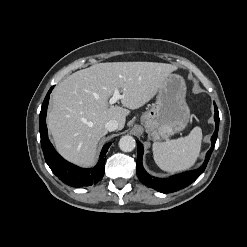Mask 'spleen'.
<instances>
[{
  "instance_id": "spleen-1",
  "label": "spleen",
  "mask_w": 247,
  "mask_h": 247,
  "mask_svg": "<svg viewBox=\"0 0 247 247\" xmlns=\"http://www.w3.org/2000/svg\"><path fill=\"white\" fill-rule=\"evenodd\" d=\"M202 130L194 127L186 137L153 144L155 163L164 171L174 173L192 167L200 153Z\"/></svg>"
}]
</instances>
